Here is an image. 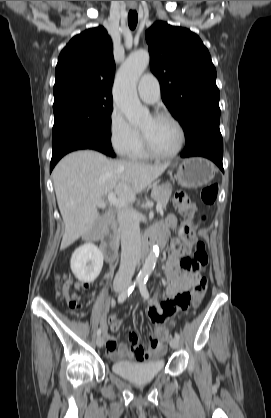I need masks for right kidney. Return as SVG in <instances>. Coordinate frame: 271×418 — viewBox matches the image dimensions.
I'll use <instances>...</instances> for the list:
<instances>
[{
	"mask_svg": "<svg viewBox=\"0 0 271 418\" xmlns=\"http://www.w3.org/2000/svg\"><path fill=\"white\" fill-rule=\"evenodd\" d=\"M71 270L81 282H93L103 267V254L93 243L77 248L71 257Z\"/></svg>",
	"mask_w": 271,
	"mask_h": 418,
	"instance_id": "1",
	"label": "right kidney"
}]
</instances>
